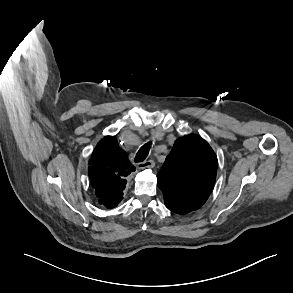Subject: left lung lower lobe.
Here are the masks:
<instances>
[{
	"label": "left lung lower lobe",
	"instance_id": "1",
	"mask_svg": "<svg viewBox=\"0 0 293 293\" xmlns=\"http://www.w3.org/2000/svg\"><path fill=\"white\" fill-rule=\"evenodd\" d=\"M165 205L169 210H171L174 213H178V214H181V215L189 213L186 210H184L183 208H180L178 206H175V205H172V204H169V203H165Z\"/></svg>",
	"mask_w": 293,
	"mask_h": 293
}]
</instances>
